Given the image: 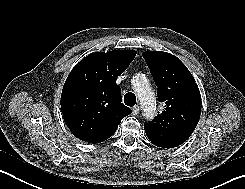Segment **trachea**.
Here are the masks:
<instances>
[{
	"instance_id": "1",
	"label": "trachea",
	"mask_w": 245,
	"mask_h": 189,
	"mask_svg": "<svg viewBox=\"0 0 245 189\" xmlns=\"http://www.w3.org/2000/svg\"><path fill=\"white\" fill-rule=\"evenodd\" d=\"M124 103L130 107L134 106L136 104L135 94L132 92L126 93L124 96Z\"/></svg>"
}]
</instances>
